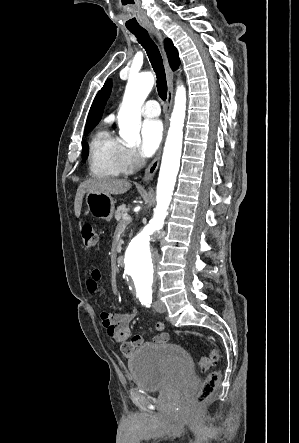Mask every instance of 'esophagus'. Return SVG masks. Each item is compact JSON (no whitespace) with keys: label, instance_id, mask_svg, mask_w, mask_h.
Listing matches in <instances>:
<instances>
[{"label":"esophagus","instance_id":"34e87169","mask_svg":"<svg viewBox=\"0 0 299 443\" xmlns=\"http://www.w3.org/2000/svg\"><path fill=\"white\" fill-rule=\"evenodd\" d=\"M148 30L150 32L156 34L157 38L160 41L161 49H162L163 56H164L165 71H166L167 81H168V93H167L166 109H165V129H166L168 126L169 115H170V111H171V107H172V103H173V73H172V71L169 67L168 61H167V57H166V54H165V51L163 48V40H162V36H161L160 32L155 30L153 27L148 28ZM161 152H162V147L159 148L156 157L154 158V160L150 163V165L146 169L145 174L143 176V181H147L155 175V173L159 167Z\"/></svg>","mask_w":299,"mask_h":443}]
</instances>
